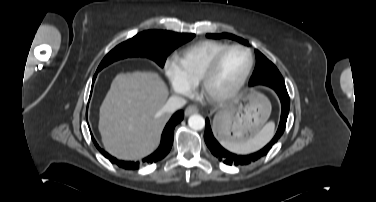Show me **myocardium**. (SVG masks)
Instances as JSON below:
<instances>
[{
	"mask_svg": "<svg viewBox=\"0 0 376 202\" xmlns=\"http://www.w3.org/2000/svg\"><path fill=\"white\" fill-rule=\"evenodd\" d=\"M234 49H241L245 51L248 54L249 57V63L248 66L241 76V78L229 89L222 91V92H215L211 89L210 83L211 80L220 67L223 59L225 56ZM254 65V55L252 51L243 45L240 44H234L229 45L224 50H222L205 68L200 80H199V87L202 95L211 103H222L225 102L232 97H234L246 84L249 75L252 71Z\"/></svg>",
	"mask_w": 376,
	"mask_h": 202,
	"instance_id": "f54148a6",
	"label": "myocardium"
}]
</instances>
